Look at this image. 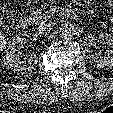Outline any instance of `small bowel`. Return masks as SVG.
<instances>
[{
    "mask_svg": "<svg viewBox=\"0 0 113 113\" xmlns=\"http://www.w3.org/2000/svg\"><path fill=\"white\" fill-rule=\"evenodd\" d=\"M108 2H109V4L112 6V8H113V0H108ZM111 22H112V24H113V18L111 19ZM113 29V28H112Z\"/></svg>",
    "mask_w": 113,
    "mask_h": 113,
    "instance_id": "1",
    "label": "small bowel"
}]
</instances>
